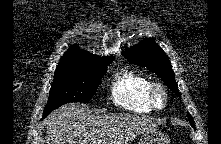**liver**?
<instances>
[{
  "instance_id": "6515ba94",
  "label": "liver",
  "mask_w": 221,
  "mask_h": 144,
  "mask_svg": "<svg viewBox=\"0 0 221 144\" xmlns=\"http://www.w3.org/2000/svg\"><path fill=\"white\" fill-rule=\"evenodd\" d=\"M44 123L46 144H131L139 134L157 128L151 119L131 113L93 115L79 103L63 105Z\"/></svg>"
}]
</instances>
